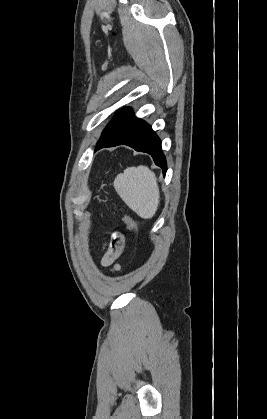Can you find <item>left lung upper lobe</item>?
Returning a JSON list of instances; mask_svg holds the SVG:
<instances>
[{"label": "left lung upper lobe", "mask_w": 267, "mask_h": 419, "mask_svg": "<svg viewBox=\"0 0 267 419\" xmlns=\"http://www.w3.org/2000/svg\"><path fill=\"white\" fill-rule=\"evenodd\" d=\"M124 110V109H123ZM122 111V110H121ZM114 118L113 120L106 126V128L104 129L102 135L109 129V127L113 124Z\"/></svg>", "instance_id": "obj_1"}]
</instances>
